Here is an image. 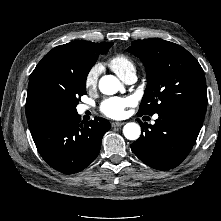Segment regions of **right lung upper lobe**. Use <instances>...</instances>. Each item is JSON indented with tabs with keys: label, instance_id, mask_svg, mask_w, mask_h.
I'll return each instance as SVG.
<instances>
[{
	"label": "right lung upper lobe",
	"instance_id": "obj_1",
	"mask_svg": "<svg viewBox=\"0 0 221 221\" xmlns=\"http://www.w3.org/2000/svg\"><path fill=\"white\" fill-rule=\"evenodd\" d=\"M94 44L89 41H73L53 48L43 57L34 69L29 81L26 99L27 117L48 110L47 99L56 81L58 70L73 54Z\"/></svg>",
	"mask_w": 221,
	"mask_h": 221
}]
</instances>
